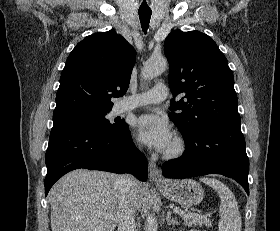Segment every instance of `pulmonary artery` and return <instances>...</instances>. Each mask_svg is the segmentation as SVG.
I'll use <instances>...</instances> for the list:
<instances>
[{
	"label": "pulmonary artery",
	"mask_w": 280,
	"mask_h": 231,
	"mask_svg": "<svg viewBox=\"0 0 280 231\" xmlns=\"http://www.w3.org/2000/svg\"><path fill=\"white\" fill-rule=\"evenodd\" d=\"M168 89L164 84H157L147 92L130 96L120 106V111L132 110L148 104L162 103L167 99Z\"/></svg>",
	"instance_id": "e3ab8cb5"
}]
</instances>
